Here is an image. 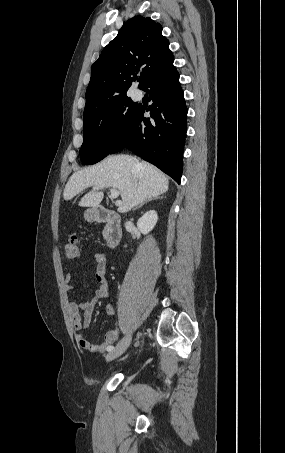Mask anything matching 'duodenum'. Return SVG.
<instances>
[{"instance_id": "duodenum-1", "label": "duodenum", "mask_w": 285, "mask_h": 453, "mask_svg": "<svg viewBox=\"0 0 285 453\" xmlns=\"http://www.w3.org/2000/svg\"><path fill=\"white\" fill-rule=\"evenodd\" d=\"M93 219L106 225L104 236L106 246L110 249L117 247L122 237L120 217L104 207H96Z\"/></svg>"}]
</instances>
